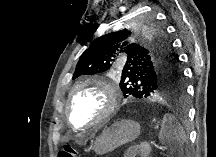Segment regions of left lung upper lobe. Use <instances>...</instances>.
Here are the masks:
<instances>
[{"label": "left lung upper lobe", "mask_w": 216, "mask_h": 157, "mask_svg": "<svg viewBox=\"0 0 216 157\" xmlns=\"http://www.w3.org/2000/svg\"><path fill=\"white\" fill-rule=\"evenodd\" d=\"M135 18L95 39L80 57L73 79L114 69V74H122L119 86L124 97H182L184 76L164 23L147 15Z\"/></svg>", "instance_id": "5c2ea615"}]
</instances>
